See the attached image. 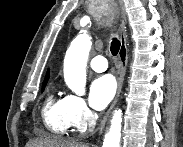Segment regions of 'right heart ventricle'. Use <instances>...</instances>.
<instances>
[{"label": "right heart ventricle", "mask_w": 183, "mask_h": 147, "mask_svg": "<svg viewBox=\"0 0 183 147\" xmlns=\"http://www.w3.org/2000/svg\"><path fill=\"white\" fill-rule=\"evenodd\" d=\"M42 117L50 132L57 135L66 134L72 126L68 117V98L48 95L42 108Z\"/></svg>", "instance_id": "obj_1"}]
</instances>
